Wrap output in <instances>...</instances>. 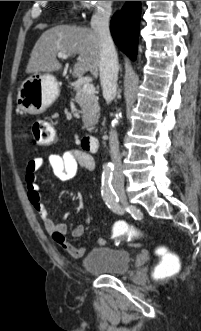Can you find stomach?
I'll return each mask as SVG.
<instances>
[{
	"instance_id": "1",
	"label": "stomach",
	"mask_w": 201,
	"mask_h": 331,
	"mask_svg": "<svg viewBox=\"0 0 201 331\" xmlns=\"http://www.w3.org/2000/svg\"><path fill=\"white\" fill-rule=\"evenodd\" d=\"M59 93V84L54 76L34 74L21 84L17 105L24 113L38 115L54 103Z\"/></svg>"
}]
</instances>
